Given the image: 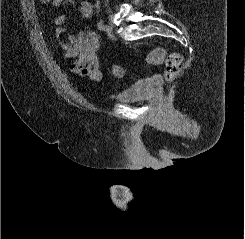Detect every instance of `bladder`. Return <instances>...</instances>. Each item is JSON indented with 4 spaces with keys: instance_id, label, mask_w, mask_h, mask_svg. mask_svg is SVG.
Listing matches in <instances>:
<instances>
[{
    "instance_id": "1",
    "label": "bladder",
    "mask_w": 245,
    "mask_h": 239,
    "mask_svg": "<svg viewBox=\"0 0 245 239\" xmlns=\"http://www.w3.org/2000/svg\"><path fill=\"white\" fill-rule=\"evenodd\" d=\"M154 87L155 80L153 78L137 80L123 88L118 93L117 99L124 103H132L151 94Z\"/></svg>"
}]
</instances>
